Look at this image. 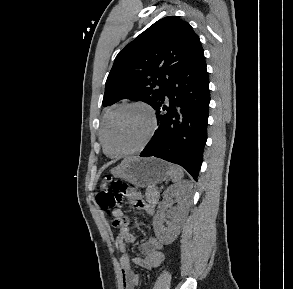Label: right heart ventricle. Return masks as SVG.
<instances>
[{"label":"right heart ventricle","instance_id":"right-heart-ventricle-1","mask_svg":"<svg viewBox=\"0 0 293 289\" xmlns=\"http://www.w3.org/2000/svg\"><path fill=\"white\" fill-rule=\"evenodd\" d=\"M118 108V105H115L111 108H109L106 113L104 114L103 116V119H102V123H101V127H100V130H99V139L102 143V139H103V132H104V129H105V125L108 121V119L110 118V116L113 114V112Z\"/></svg>","mask_w":293,"mask_h":289}]
</instances>
